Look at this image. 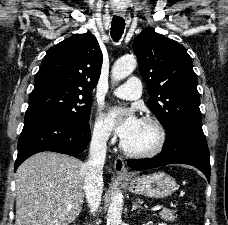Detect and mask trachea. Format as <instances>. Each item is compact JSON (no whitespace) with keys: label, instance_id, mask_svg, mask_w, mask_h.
Returning a JSON list of instances; mask_svg holds the SVG:
<instances>
[{"label":"trachea","instance_id":"obj_1","mask_svg":"<svg viewBox=\"0 0 228 225\" xmlns=\"http://www.w3.org/2000/svg\"><path fill=\"white\" fill-rule=\"evenodd\" d=\"M125 28V21L121 17H113L112 22H111V37L113 38L114 41H118Z\"/></svg>","mask_w":228,"mask_h":225}]
</instances>
